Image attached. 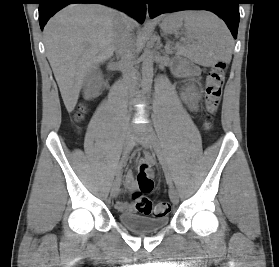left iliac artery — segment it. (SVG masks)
Returning <instances> with one entry per match:
<instances>
[{
	"mask_svg": "<svg viewBox=\"0 0 279 267\" xmlns=\"http://www.w3.org/2000/svg\"><path fill=\"white\" fill-rule=\"evenodd\" d=\"M153 135H154V137H155V140H156V143H157V146H158V148H157V150H156L157 156H158V158H159V160H160V162H161V164H162V167H163V170H164V174H165L167 183H168L170 186H172V184H173V183H172V178H171V176H170L169 168H168V165H167V163H166V160H165V157H164V153H163V151H162L161 148H160L159 141H158V139H157L155 133H153Z\"/></svg>",
	"mask_w": 279,
	"mask_h": 267,
	"instance_id": "obj_1",
	"label": "left iliac artery"
}]
</instances>
